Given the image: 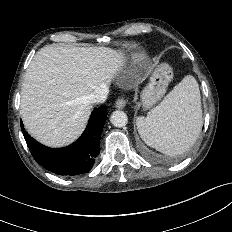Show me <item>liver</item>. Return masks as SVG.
<instances>
[{"instance_id": "1", "label": "liver", "mask_w": 232, "mask_h": 232, "mask_svg": "<svg viewBox=\"0 0 232 232\" xmlns=\"http://www.w3.org/2000/svg\"><path fill=\"white\" fill-rule=\"evenodd\" d=\"M121 52L106 47L41 48L30 63L21 90V116L41 143L61 147L85 128L87 97L121 71Z\"/></svg>"}]
</instances>
